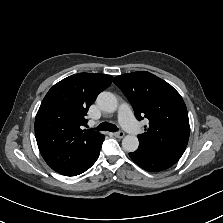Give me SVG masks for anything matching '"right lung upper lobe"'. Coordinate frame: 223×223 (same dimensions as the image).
<instances>
[{"label": "right lung upper lobe", "mask_w": 223, "mask_h": 223, "mask_svg": "<svg viewBox=\"0 0 223 223\" xmlns=\"http://www.w3.org/2000/svg\"><path fill=\"white\" fill-rule=\"evenodd\" d=\"M112 83V76L79 73L56 83L35 118V136L46 163L56 172L75 175L101 144L99 132L82 130L88 108Z\"/></svg>", "instance_id": "cb5924a9"}]
</instances>
